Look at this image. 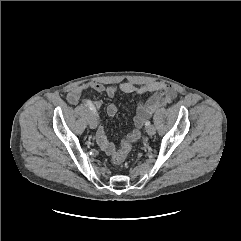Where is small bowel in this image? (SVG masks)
<instances>
[{"mask_svg": "<svg viewBox=\"0 0 241 241\" xmlns=\"http://www.w3.org/2000/svg\"><path fill=\"white\" fill-rule=\"evenodd\" d=\"M89 89L95 90L99 93L104 92L109 97H114L119 92L135 95L154 93L151 98L145 102L141 101L137 106V113L133 119L134 129L126 138L130 143L138 140L140 137V130L143 127L145 120L151 115V113L155 109L171 103L177 95L176 90L172 86L162 82H153L144 85H135L130 82H123L117 85L108 86L100 83H86L75 86L69 91L67 95L68 102L72 105L78 104L82 94ZM92 103L97 109H100L102 106L101 101H94ZM117 111L118 108L114 103H111L106 107V113L109 116H114ZM96 139L100 148L107 155H112L116 151V145L108 140L103 127L98 128L96 132Z\"/></svg>", "mask_w": 241, "mask_h": 241, "instance_id": "small-bowel-1", "label": "small bowel"}]
</instances>
